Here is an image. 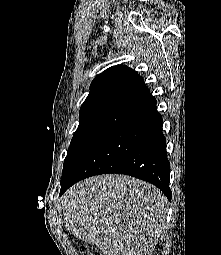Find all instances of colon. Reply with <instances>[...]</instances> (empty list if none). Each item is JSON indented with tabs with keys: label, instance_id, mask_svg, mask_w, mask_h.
I'll use <instances>...</instances> for the list:
<instances>
[{
	"label": "colon",
	"instance_id": "colon-1",
	"mask_svg": "<svg viewBox=\"0 0 221 255\" xmlns=\"http://www.w3.org/2000/svg\"><path fill=\"white\" fill-rule=\"evenodd\" d=\"M82 252L86 255H101L99 252H92V251H89L87 250V248L83 247L82 248Z\"/></svg>",
	"mask_w": 221,
	"mask_h": 255
}]
</instances>
